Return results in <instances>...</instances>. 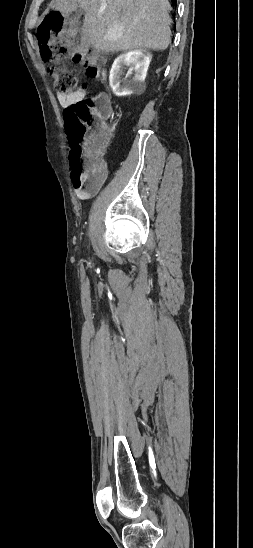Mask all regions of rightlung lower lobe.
<instances>
[{
  "label": "right lung lower lobe",
  "instance_id": "1",
  "mask_svg": "<svg viewBox=\"0 0 253 548\" xmlns=\"http://www.w3.org/2000/svg\"><path fill=\"white\" fill-rule=\"evenodd\" d=\"M171 1H172V3L174 4V6H176L177 0H171Z\"/></svg>",
  "mask_w": 253,
  "mask_h": 548
}]
</instances>
